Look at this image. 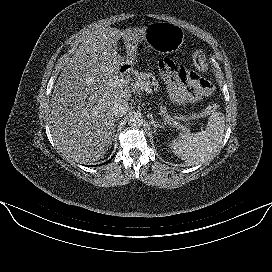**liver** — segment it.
<instances>
[{
  "label": "liver",
  "instance_id": "obj_1",
  "mask_svg": "<svg viewBox=\"0 0 272 272\" xmlns=\"http://www.w3.org/2000/svg\"><path fill=\"white\" fill-rule=\"evenodd\" d=\"M145 34L146 27L92 31L61 72L49 118L56 146L75 161H97L109 148L114 129L112 105L119 99L128 101L131 94L130 88L108 86L107 82L118 77L123 65L135 63ZM121 38L126 61L117 52Z\"/></svg>",
  "mask_w": 272,
  "mask_h": 272
}]
</instances>
